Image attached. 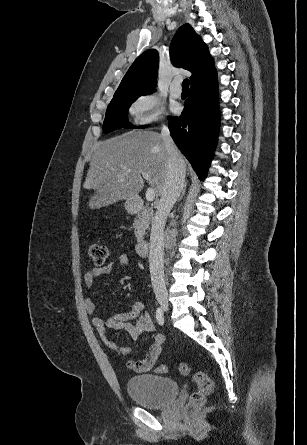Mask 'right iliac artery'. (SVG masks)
Here are the masks:
<instances>
[{"label": "right iliac artery", "instance_id": "1", "mask_svg": "<svg viewBox=\"0 0 307 445\" xmlns=\"http://www.w3.org/2000/svg\"><path fill=\"white\" fill-rule=\"evenodd\" d=\"M156 319L160 325H163L164 315H163V310L160 307H158L156 310Z\"/></svg>", "mask_w": 307, "mask_h": 445}]
</instances>
